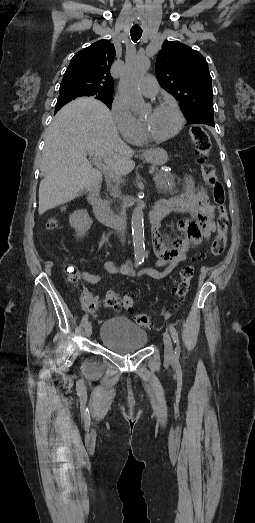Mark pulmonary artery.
I'll return each mask as SVG.
<instances>
[{
	"mask_svg": "<svg viewBox=\"0 0 255 523\" xmlns=\"http://www.w3.org/2000/svg\"><path fill=\"white\" fill-rule=\"evenodd\" d=\"M155 83L156 80L153 75L145 77L140 86L142 93L146 96H154L157 93Z\"/></svg>",
	"mask_w": 255,
	"mask_h": 523,
	"instance_id": "e3ab8cb5",
	"label": "pulmonary artery"
}]
</instances>
